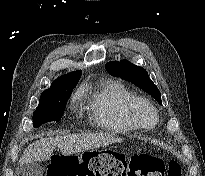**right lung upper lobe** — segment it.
<instances>
[{"label": "right lung upper lobe", "mask_w": 205, "mask_h": 176, "mask_svg": "<svg viewBox=\"0 0 205 176\" xmlns=\"http://www.w3.org/2000/svg\"><path fill=\"white\" fill-rule=\"evenodd\" d=\"M81 72H82L81 70H78L60 76L51 84L49 89L42 92L41 96L56 93L58 91L65 90V89H73L77 85L81 77Z\"/></svg>", "instance_id": "1"}]
</instances>
